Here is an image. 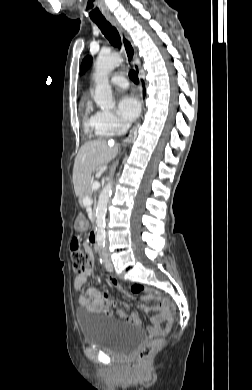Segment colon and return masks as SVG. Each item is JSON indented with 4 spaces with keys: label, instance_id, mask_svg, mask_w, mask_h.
I'll list each match as a JSON object with an SVG mask.
<instances>
[{
    "label": "colon",
    "instance_id": "1",
    "mask_svg": "<svg viewBox=\"0 0 252 390\" xmlns=\"http://www.w3.org/2000/svg\"><path fill=\"white\" fill-rule=\"evenodd\" d=\"M70 251H71V259H72V265H73V270L76 273H82L86 271L90 265L92 264V253L87 250L82 244L81 241L77 238H74L71 241L70 244ZM111 285L115 289H121V291L125 292L126 291L118 285L116 282H112ZM144 290V287L138 284H135L131 286V293L132 294H138ZM118 291V290H117ZM119 292V291H118ZM149 294L151 296L157 295V291L153 289H149ZM162 340L157 339L152 342H149L145 344L141 350L138 353V360L141 363H147L150 361L151 357L153 354L158 351L161 346H162Z\"/></svg>",
    "mask_w": 252,
    "mask_h": 390
}]
</instances>
